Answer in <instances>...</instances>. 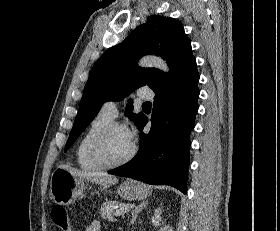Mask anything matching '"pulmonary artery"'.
Segmentation results:
<instances>
[{
    "label": "pulmonary artery",
    "mask_w": 280,
    "mask_h": 231,
    "mask_svg": "<svg viewBox=\"0 0 280 231\" xmlns=\"http://www.w3.org/2000/svg\"><path fill=\"white\" fill-rule=\"evenodd\" d=\"M137 95L143 100H151L154 97V93L148 87L139 89ZM100 114H103L111 119H115L118 115L117 104L114 101L105 102L100 109Z\"/></svg>",
    "instance_id": "e3ab8cb5"
}]
</instances>
